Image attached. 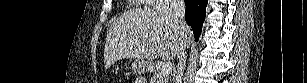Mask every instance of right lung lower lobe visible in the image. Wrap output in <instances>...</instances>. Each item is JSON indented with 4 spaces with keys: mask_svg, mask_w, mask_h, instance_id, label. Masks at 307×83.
Wrapping results in <instances>:
<instances>
[{
    "mask_svg": "<svg viewBox=\"0 0 307 83\" xmlns=\"http://www.w3.org/2000/svg\"><path fill=\"white\" fill-rule=\"evenodd\" d=\"M186 5L185 20L192 27L195 39L201 34L202 24L205 19L207 0H184Z\"/></svg>",
    "mask_w": 307,
    "mask_h": 83,
    "instance_id": "right-lung-lower-lobe-1",
    "label": "right lung lower lobe"
}]
</instances>
